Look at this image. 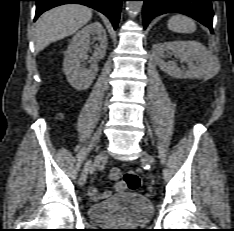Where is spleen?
I'll list each match as a JSON object with an SVG mask.
<instances>
[{
  "label": "spleen",
  "mask_w": 234,
  "mask_h": 231,
  "mask_svg": "<svg viewBox=\"0 0 234 231\" xmlns=\"http://www.w3.org/2000/svg\"><path fill=\"white\" fill-rule=\"evenodd\" d=\"M168 28L177 33H193L196 30V24L187 16L174 15L168 20Z\"/></svg>",
  "instance_id": "spleen-1"
}]
</instances>
